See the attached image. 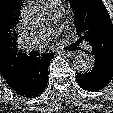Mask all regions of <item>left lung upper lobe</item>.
Segmentation results:
<instances>
[{
    "instance_id": "left-lung-upper-lobe-1",
    "label": "left lung upper lobe",
    "mask_w": 113,
    "mask_h": 113,
    "mask_svg": "<svg viewBox=\"0 0 113 113\" xmlns=\"http://www.w3.org/2000/svg\"><path fill=\"white\" fill-rule=\"evenodd\" d=\"M80 38L113 51V24L102 0H69Z\"/></svg>"
}]
</instances>
